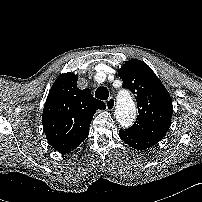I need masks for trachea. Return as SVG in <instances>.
I'll return each mask as SVG.
<instances>
[{"mask_svg": "<svg viewBox=\"0 0 202 202\" xmlns=\"http://www.w3.org/2000/svg\"><path fill=\"white\" fill-rule=\"evenodd\" d=\"M95 97L100 100H106L109 97V91L106 87H99L95 91Z\"/></svg>", "mask_w": 202, "mask_h": 202, "instance_id": "obj_1", "label": "trachea"}]
</instances>
